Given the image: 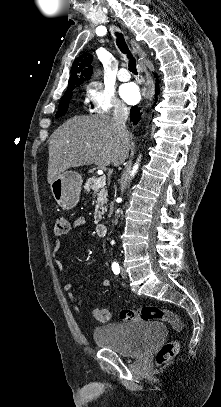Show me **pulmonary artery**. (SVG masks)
I'll return each instance as SVG.
<instances>
[{"label": "pulmonary artery", "instance_id": "e3ab8cb5", "mask_svg": "<svg viewBox=\"0 0 221 407\" xmlns=\"http://www.w3.org/2000/svg\"><path fill=\"white\" fill-rule=\"evenodd\" d=\"M117 77L120 81H128L130 80V74L128 73L127 69L125 67L120 68V70L117 73Z\"/></svg>", "mask_w": 221, "mask_h": 407}]
</instances>
